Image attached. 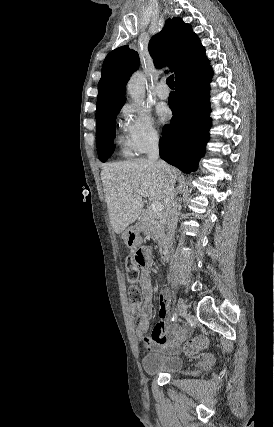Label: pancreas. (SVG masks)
I'll return each instance as SVG.
<instances>
[{
	"label": "pancreas",
	"mask_w": 274,
	"mask_h": 427,
	"mask_svg": "<svg viewBox=\"0 0 274 427\" xmlns=\"http://www.w3.org/2000/svg\"><path fill=\"white\" fill-rule=\"evenodd\" d=\"M165 212H159V214H153V212H143L140 217V227L143 233L147 235H153L158 241H162L165 237Z\"/></svg>",
	"instance_id": "obj_1"
}]
</instances>
